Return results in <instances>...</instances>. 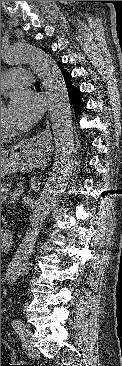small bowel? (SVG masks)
<instances>
[{"instance_id": "obj_1", "label": "small bowel", "mask_w": 122, "mask_h": 366, "mask_svg": "<svg viewBox=\"0 0 122 366\" xmlns=\"http://www.w3.org/2000/svg\"><path fill=\"white\" fill-rule=\"evenodd\" d=\"M19 273H20V272H19V270H17V268H15V267H11V268H9V269L7 270L6 275H5V279H6V280H10V279H12L13 277L17 276ZM9 351H10V349H9Z\"/></svg>"}]
</instances>
